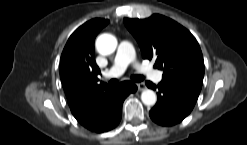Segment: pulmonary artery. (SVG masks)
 <instances>
[{
	"label": "pulmonary artery",
	"mask_w": 247,
	"mask_h": 145,
	"mask_svg": "<svg viewBox=\"0 0 247 145\" xmlns=\"http://www.w3.org/2000/svg\"><path fill=\"white\" fill-rule=\"evenodd\" d=\"M130 63H134L140 72L146 73L155 82H159L162 79V72L156 71L148 66H141L136 62L135 50L133 45L128 41H122L117 54L115 56L113 65L105 74L106 78H115L122 75L127 66Z\"/></svg>",
	"instance_id": "obj_1"
}]
</instances>
